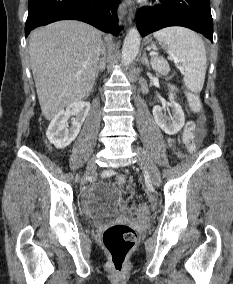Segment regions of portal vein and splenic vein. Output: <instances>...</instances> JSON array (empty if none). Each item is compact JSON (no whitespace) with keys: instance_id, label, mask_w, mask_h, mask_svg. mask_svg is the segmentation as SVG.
Here are the masks:
<instances>
[{"instance_id":"18ae733b","label":"portal vein and splenic vein","mask_w":233,"mask_h":284,"mask_svg":"<svg viewBox=\"0 0 233 284\" xmlns=\"http://www.w3.org/2000/svg\"><path fill=\"white\" fill-rule=\"evenodd\" d=\"M158 55L156 52H150V56Z\"/></svg>"}]
</instances>
